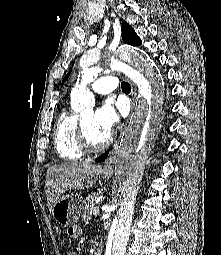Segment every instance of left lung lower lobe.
Instances as JSON below:
<instances>
[{
    "instance_id": "left-lung-lower-lobe-1",
    "label": "left lung lower lobe",
    "mask_w": 221,
    "mask_h": 255,
    "mask_svg": "<svg viewBox=\"0 0 221 255\" xmlns=\"http://www.w3.org/2000/svg\"><path fill=\"white\" fill-rule=\"evenodd\" d=\"M159 61V60H158ZM108 156V152H105L103 155H101L99 158L96 159V162H102L106 159Z\"/></svg>"
}]
</instances>
